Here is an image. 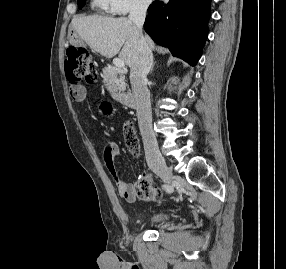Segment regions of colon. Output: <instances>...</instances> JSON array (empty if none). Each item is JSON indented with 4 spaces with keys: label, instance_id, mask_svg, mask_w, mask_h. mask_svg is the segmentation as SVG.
Segmentation results:
<instances>
[{
    "label": "colon",
    "instance_id": "5ec220e1",
    "mask_svg": "<svg viewBox=\"0 0 286 269\" xmlns=\"http://www.w3.org/2000/svg\"><path fill=\"white\" fill-rule=\"evenodd\" d=\"M65 70L67 78L74 88L83 84L94 83L97 78L95 63L91 54L82 48L71 46L67 49ZM103 110H108V105H104ZM124 136L129 151L137 155L139 153V141L130 122L124 125ZM134 187L135 195L141 201L153 202L161 196L160 190L152 185L147 174L140 175Z\"/></svg>",
    "mask_w": 286,
    "mask_h": 269
}]
</instances>
